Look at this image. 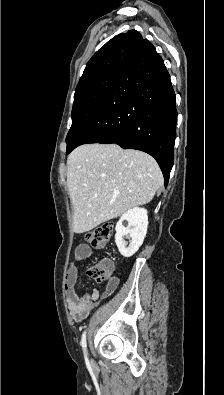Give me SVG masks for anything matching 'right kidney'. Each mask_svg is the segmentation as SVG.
I'll list each match as a JSON object with an SVG mask.
<instances>
[{"label":"right kidney","instance_id":"right-kidney-1","mask_svg":"<svg viewBox=\"0 0 224 395\" xmlns=\"http://www.w3.org/2000/svg\"><path fill=\"white\" fill-rule=\"evenodd\" d=\"M124 221L128 222L127 227L123 225ZM147 227L148 215L146 209L135 207L122 214L115 228V243L123 257H131L138 251L146 236ZM124 236L131 238L129 245L124 240Z\"/></svg>","mask_w":224,"mask_h":395}]
</instances>
